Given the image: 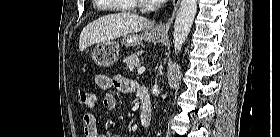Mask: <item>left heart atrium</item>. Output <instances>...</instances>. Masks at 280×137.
<instances>
[{
    "label": "left heart atrium",
    "instance_id": "39dd6f15",
    "mask_svg": "<svg viewBox=\"0 0 280 137\" xmlns=\"http://www.w3.org/2000/svg\"><path fill=\"white\" fill-rule=\"evenodd\" d=\"M151 2L154 4H162L165 2V0H151Z\"/></svg>",
    "mask_w": 280,
    "mask_h": 137
}]
</instances>
